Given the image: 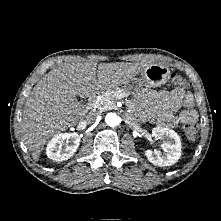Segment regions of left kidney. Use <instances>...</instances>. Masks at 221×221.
Instances as JSON below:
<instances>
[{
	"mask_svg": "<svg viewBox=\"0 0 221 221\" xmlns=\"http://www.w3.org/2000/svg\"><path fill=\"white\" fill-rule=\"evenodd\" d=\"M152 135L156 139H162L161 148L163 154L158 150H145L147 159L156 166H170L178 161L181 156V141L178 134L169 128L155 127Z\"/></svg>",
	"mask_w": 221,
	"mask_h": 221,
	"instance_id": "obj_1",
	"label": "left kidney"
}]
</instances>
